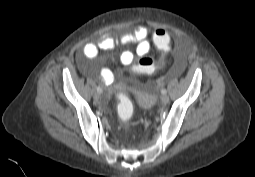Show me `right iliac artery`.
<instances>
[{"instance_id":"obj_1","label":"right iliac artery","mask_w":255,"mask_h":177,"mask_svg":"<svg viewBox=\"0 0 255 177\" xmlns=\"http://www.w3.org/2000/svg\"><path fill=\"white\" fill-rule=\"evenodd\" d=\"M97 92L100 94L102 93V88L100 86L97 87Z\"/></svg>"}]
</instances>
